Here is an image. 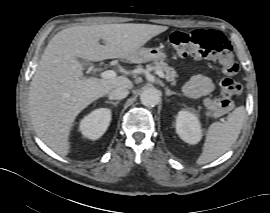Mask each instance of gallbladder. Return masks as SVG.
I'll list each match as a JSON object with an SVG mask.
<instances>
[{"label":"gallbladder","mask_w":270,"mask_h":213,"mask_svg":"<svg viewBox=\"0 0 270 213\" xmlns=\"http://www.w3.org/2000/svg\"><path fill=\"white\" fill-rule=\"evenodd\" d=\"M79 61L85 66L88 67L90 65V63L84 59H79Z\"/></svg>","instance_id":"gallbladder-1"}]
</instances>
